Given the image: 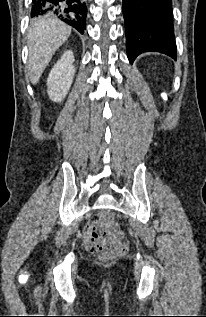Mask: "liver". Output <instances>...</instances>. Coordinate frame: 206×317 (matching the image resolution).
<instances>
[{
    "mask_svg": "<svg viewBox=\"0 0 206 317\" xmlns=\"http://www.w3.org/2000/svg\"><path fill=\"white\" fill-rule=\"evenodd\" d=\"M70 34V26L49 15L32 22L28 33L27 69L33 85L37 84L53 55Z\"/></svg>",
    "mask_w": 206,
    "mask_h": 317,
    "instance_id": "6515ba94",
    "label": "liver"
}]
</instances>
